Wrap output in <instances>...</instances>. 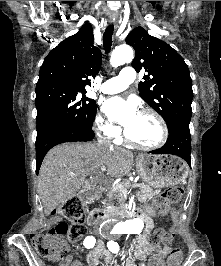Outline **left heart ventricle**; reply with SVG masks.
<instances>
[{"label": "left heart ventricle", "instance_id": "1", "mask_svg": "<svg viewBox=\"0 0 221 266\" xmlns=\"http://www.w3.org/2000/svg\"><path fill=\"white\" fill-rule=\"evenodd\" d=\"M126 131L133 140L147 145L156 142L160 137V128L156 120L142 113H139L136 120L126 127Z\"/></svg>", "mask_w": 221, "mask_h": 266}]
</instances>
